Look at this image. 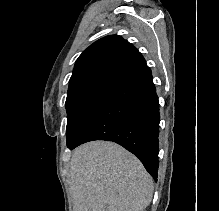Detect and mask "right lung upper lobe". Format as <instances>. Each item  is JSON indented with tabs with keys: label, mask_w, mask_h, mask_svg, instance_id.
Returning <instances> with one entry per match:
<instances>
[{
	"label": "right lung upper lobe",
	"mask_w": 219,
	"mask_h": 211,
	"mask_svg": "<svg viewBox=\"0 0 219 211\" xmlns=\"http://www.w3.org/2000/svg\"><path fill=\"white\" fill-rule=\"evenodd\" d=\"M145 66L141 53L122 37L110 35L101 38L77 59L67 98L97 86L115 87Z\"/></svg>",
	"instance_id": "right-lung-upper-lobe-1"
}]
</instances>
